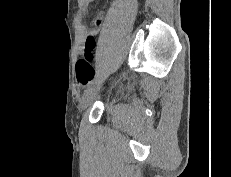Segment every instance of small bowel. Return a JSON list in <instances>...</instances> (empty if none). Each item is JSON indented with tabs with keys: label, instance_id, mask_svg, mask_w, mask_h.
Masks as SVG:
<instances>
[{
	"label": "small bowel",
	"instance_id": "small-bowel-1",
	"mask_svg": "<svg viewBox=\"0 0 231 177\" xmlns=\"http://www.w3.org/2000/svg\"><path fill=\"white\" fill-rule=\"evenodd\" d=\"M87 1V4H89L92 0H86ZM103 23V17L101 15L97 16L95 21H94V25H95V29L92 30V31H88L85 27H82V31H83V34L86 36V40L89 36L95 34L97 32V28L100 27ZM82 52H86V47L84 48H81L80 49Z\"/></svg>",
	"mask_w": 231,
	"mask_h": 177
}]
</instances>
